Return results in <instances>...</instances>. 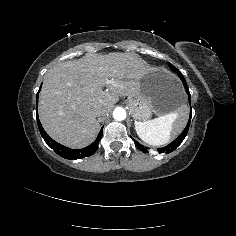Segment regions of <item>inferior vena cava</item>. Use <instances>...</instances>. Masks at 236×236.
Returning <instances> with one entry per match:
<instances>
[{"instance_id":"inferior-vena-cava-1","label":"inferior vena cava","mask_w":236,"mask_h":236,"mask_svg":"<svg viewBox=\"0 0 236 236\" xmlns=\"http://www.w3.org/2000/svg\"><path fill=\"white\" fill-rule=\"evenodd\" d=\"M93 114H94L96 117H99V116H101V115H102V113H101V110H100V109H97V110H95V111L93 112Z\"/></svg>"}]
</instances>
